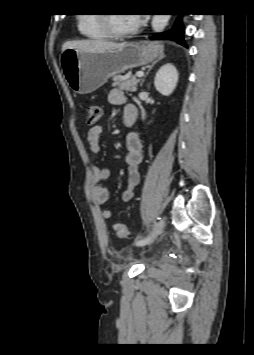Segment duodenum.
<instances>
[{"instance_id":"obj_1","label":"duodenum","mask_w":254,"mask_h":355,"mask_svg":"<svg viewBox=\"0 0 254 355\" xmlns=\"http://www.w3.org/2000/svg\"><path fill=\"white\" fill-rule=\"evenodd\" d=\"M126 126H131L132 125V123L130 122V121H126Z\"/></svg>"}]
</instances>
